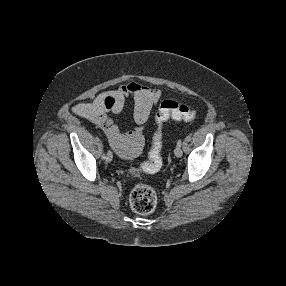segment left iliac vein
<instances>
[{
	"instance_id": "obj_1",
	"label": "left iliac vein",
	"mask_w": 286,
	"mask_h": 286,
	"mask_svg": "<svg viewBox=\"0 0 286 286\" xmlns=\"http://www.w3.org/2000/svg\"><path fill=\"white\" fill-rule=\"evenodd\" d=\"M174 154L176 157L180 158L183 154L181 147H176L174 150Z\"/></svg>"
}]
</instances>
